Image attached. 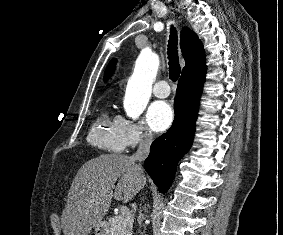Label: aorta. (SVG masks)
Listing matches in <instances>:
<instances>
[{
    "instance_id": "762f6f07",
    "label": "aorta",
    "mask_w": 283,
    "mask_h": 235,
    "mask_svg": "<svg viewBox=\"0 0 283 235\" xmlns=\"http://www.w3.org/2000/svg\"><path fill=\"white\" fill-rule=\"evenodd\" d=\"M158 67L159 57L157 54L142 51L138 56L124 97V109L128 117L138 119L145 110Z\"/></svg>"
}]
</instances>
